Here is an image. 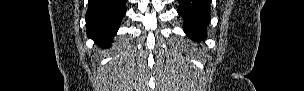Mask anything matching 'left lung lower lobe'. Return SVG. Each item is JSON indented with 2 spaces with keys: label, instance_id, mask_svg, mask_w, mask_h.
I'll return each instance as SVG.
<instances>
[{
  "label": "left lung lower lobe",
  "instance_id": "obj_1",
  "mask_svg": "<svg viewBox=\"0 0 304 91\" xmlns=\"http://www.w3.org/2000/svg\"><path fill=\"white\" fill-rule=\"evenodd\" d=\"M178 14L184 19V32L193 41L206 38V28L210 21L211 0H178Z\"/></svg>",
  "mask_w": 304,
  "mask_h": 91
}]
</instances>
